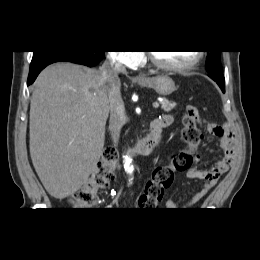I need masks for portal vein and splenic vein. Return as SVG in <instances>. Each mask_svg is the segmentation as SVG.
Wrapping results in <instances>:
<instances>
[{
	"label": "portal vein and splenic vein",
	"instance_id": "18ae733b",
	"mask_svg": "<svg viewBox=\"0 0 260 260\" xmlns=\"http://www.w3.org/2000/svg\"><path fill=\"white\" fill-rule=\"evenodd\" d=\"M153 107H154V108H158V107H159V103H158V102H154V103H153Z\"/></svg>",
	"mask_w": 260,
	"mask_h": 260
}]
</instances>
